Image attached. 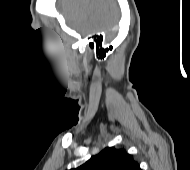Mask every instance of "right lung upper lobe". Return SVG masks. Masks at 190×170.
I'll return each mask as SVG.
<instances>
[{"instance_id": "obj_1", "label": "right lung upper lobe", "mask_w": 190, "mask_h": 170, "mask_svg": "<svg viewBox=\"0 0 190 170\" xmlns=\"http://www.w3.org/2000/svg\"><path fill=\"white\" fill-rule=\"evenodd\" d=\"M71 170H141L125 149L106 147L81 166Z\"/></svg>"}]
</instances>
